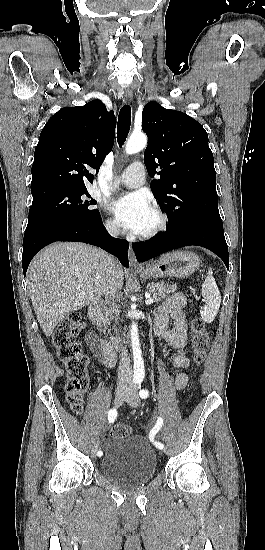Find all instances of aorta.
Returning <instances> with one entry per match:
<instances>
[{"instance_id": "aorta-1", "label": "aorta", "mask_w": 265, "mask_h": 550, "mask_svg": "<svg viewBox=\"0 0 265 550\" xmlns=\"http://www.w3.org/2000/svg\"><path fill=\"white\" fill-rule=\"evenodd\" d=\"M147 145V136L144 133H133L126 144V154L131 155L143 150ZM131 346L133 352L134 371L137 375H144V361L142 358L138 326L133 322L130 329Z\"/></svg>"}]
</instances>
